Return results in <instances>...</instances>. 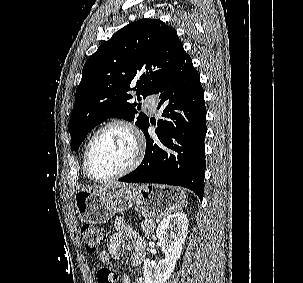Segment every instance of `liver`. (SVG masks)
<instances>
[{
    "mask_svg": "<svg viewBox=\"0 0 303 283\" xmlns=\"http://www.w3.org/2000/svg\"><path fill=\"white\" fill-rule=\"evenodd\" d=\"M127 187H131V185L120 183V182H109L98 186H89L86 188H82V190H85L92 194H103L105 192L116 190L118 188H127Z\"/></svg>",
    "mask_w": 303,
    "mask_h": 283,
    "instance_id": "liver-1",
    "label": "liver"
}]
</instances>
